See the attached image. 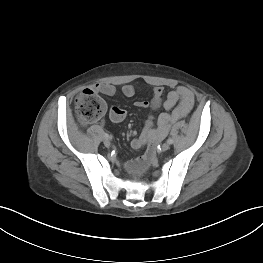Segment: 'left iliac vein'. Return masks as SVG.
I'll use <instances>...</instances> for the list:
<instances>
[{"label":"left iliac vein","mask_w":263,"mask_h":263,"mask_svg":"<svg viewBox=\"0 0 263 263\" xmlns=\"http://www.w3.org/2000/svg\"><path fill=\"white\" fill-rule=\"evenodd\" d=\"M169 148H170V145L168 142L163 143L161 146L162 151H167Z\"/></svg>","instance_id":"1"}]
</instances>
